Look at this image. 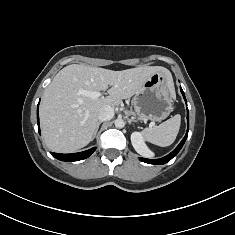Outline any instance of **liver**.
<instances>
[{
    "label": "liver",
    "instance_id": "6515ba94",
    "mask_svg": "<svg viewBox=\"0 0 235 235\" xmlns=\"http://www.w3.org/2000/svg\"><path fill=\"white\" fill-rule=\"evenodd\" d=\"M155 73L166 76L167 85L173 92L171 74L161 66H139L122 71L84 64L64 67L45 89L40 105L42 137L46 145L59 153L86 146L93 140L100 108L118 106L123 99L136 94ZM107 89L109 95L97 99L80 93L81 90Z\"/></svg>",
    "mask_w": 235,
    "mask_h": 235
}]
</instances>
